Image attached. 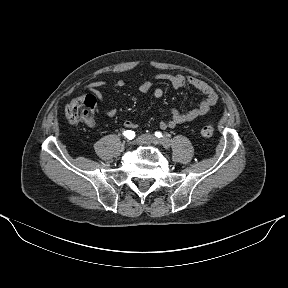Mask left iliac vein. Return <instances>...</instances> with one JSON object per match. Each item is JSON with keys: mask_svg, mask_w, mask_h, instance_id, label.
<instances>
[{"mask_svg": "<svg viewBox=\"0 0 288 288\" xmlns=\"http://www.w3.org/2000/svg\"><path fill=\"white\" fill-rule=\"evenodd\" d=\"M141 141H143L144 143H151V144H161L163 145L165 148H169L170 147V142L168 139L164 138V139H158L155 136L151 135V134H147V135H143L141 138Z\"/></svg>", "mask_w": 288, "mask_h": 288, "instance_id": "1", "label": "left iliac vein"}]
</instances>
